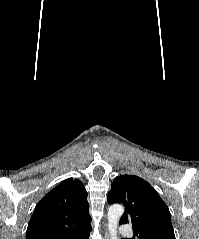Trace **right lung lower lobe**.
Masks as SVG:
<instances>
[{
    "instance_id": "98d812e1",
    "label": "right lung lower lobe",
    "mask_w": 199,
    "mask_h": 239,
    "mask_svg": "<svg viewBox=\"0 0 199 239\" xmlns=\"http://www.w3.org/2000/svg\"><path fill=\"white\" fill-rule=\"evenodd\" d=\"M92 230L91 226L86 227L79 232L75 233L74 235L67 237L65 239H89L90 231Z\"/></svg>"
}]
</instances>
